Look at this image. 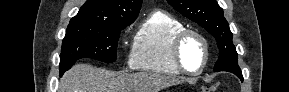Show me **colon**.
<instances>
[{
    "mask_svg": "<svg viewBox=\"0 0 289 92\" xmlns=\"http://www.w3.org/2000/svg\"><path fill=\"white\" fill-rule=\"evenodd\" d=\"M214 91H217V86L216 85H213V86H210V87H206L203 89V92H214Z\"/></svg>",
    "mask_w": 289,
    "mask_h": 92,
    "instance_id": "1",
    "label": "colon"
}]
</instances>
